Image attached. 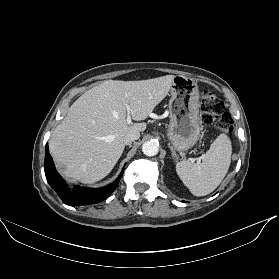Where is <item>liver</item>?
<instances>
[{
    "label": "liver",
    "mask_w": 279,
    "mask_h": 279,
    "mask_svg": "<svg viewBox=\"0 0 279 279\" xmlns=\"http://www.w3.org/2000/svg\"><path fill=\"white\" fill-rule=\"evenodd\" d=\"M174 75L141 81L107 80L81 95L49 141L61 173L85 184L106 177L122 155L125 136L143 132L145 120L168 94Z\"/></svg>",
    "instance_id": "1"
}]
</instances>
